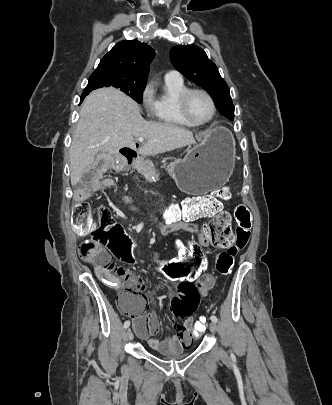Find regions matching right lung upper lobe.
I'll return each instance as SVG.
<instances>
[{
    "label": "right lung upper lobe",
    "mask_w": 332,
    "mask_h": 405,
    "mask_svg": "<svg viewBox=\"0 0 332 405\" xmlns=\"http://www.w3.org/2000/svg\"><path fill=\"white\" fill-rule=\"evenodd\" d=\"M155 51L137 40L118 42L100 61L93 72H116L140 80H147L148 66Z\"/></svg>",
    "instance_id": "right-lung-upper-lobe-1"
}]
</instances>
